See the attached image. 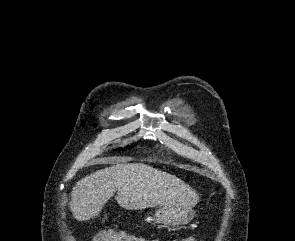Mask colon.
<instances>
[{
	"instance_id": "1",
	"label": "colon",
	"mask_w": 295,
	"mask_h": 241,
	"mask_svg": "<svg viewBox=\"0 0 295 241\" xmlns=\"http://www.w3.org/2000/svg\"><path fill=\"white\" fill-rule=\"evenodd\" d=\"M131 237H135V236H132L125 232L103 230L98 232L94 241H131ZM185 241H188V240H185ZM192 241H196V240H192Z\"/></svg>"
}]
</instances>
